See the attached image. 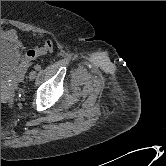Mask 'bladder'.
Returning <instances> with one entry per match:
<instances>
[{"instance_id":"31cf9c89","label":"bladder","mask_w":166,"mask_h":166,"mask_svg":"<svg viewBox=\"0 0 166 166\" xmlns=\"http://www.w3.org/2000/svg\"><path fill=\"white\" fill-rule=\"evenodd\" d=\"M22 55L19 49L5 40L1 39V78L8 77L16 80L20 74Z\"/></svg>"}]
</instances>
